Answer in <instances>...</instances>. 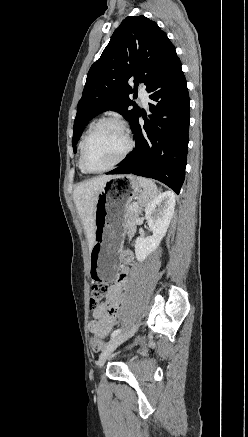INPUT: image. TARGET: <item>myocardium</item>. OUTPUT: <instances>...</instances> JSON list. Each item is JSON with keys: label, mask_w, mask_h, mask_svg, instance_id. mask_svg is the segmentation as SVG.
Here are the masks:
<instances>
[{"label": "myocardium", "mask_w": 248, "mask_h": 437, "mask_svg": "<svg viewBox=\"0 0 248 437\" xmlns=\"http://www.w3.org/2000/svg\"><path fill=\"white\" fill-rule=\"evenodd\" d=\"M108 124H112V125H115L118 128H120V130L123 132L125 140H126V148L123 151V153L120 155V157L116 161H114L111 165H109L103 169L93 170L88 166V164L86 162L87 146H88L90 139L94 136V134L99 129H101L103 126L108 125ZM133 148H134V140H133L131 132H130L128 126L125 124V122H123L120 119L112 118V117L104 118V119H101L100 121H98L91 128V130L89 131V133L86 135V137L83 140V143L81 146V152H80L81 165L87 173H91V174L103 173V172H106V171L113 169L118 164H120L122 161H124L126 159V157L130 154V152L133 150Z\"/></svg>", "instance_id": "obj_1"}]
</instances>
